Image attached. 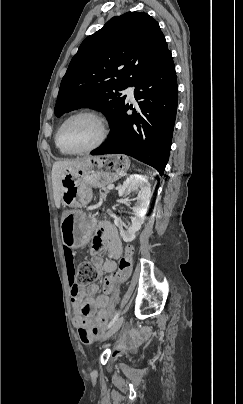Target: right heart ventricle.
I'll use <instances>...</instances> for the list:
<instances>
[{
    "label": "right heart ventricle",
    "mask_w": 243,
    "mask_h": 404,
    "mask_svg": "<svg viewBox=\"0 0 243 404\" xmlns=\"http://www.w3.org/2000/svg\"><path fill=\"white\" fill-rule=\"evenodd\" d=\"M54 141H55V145H56L58 151H59L62 155H67V156H68V155H73V154H74V153H71V152L67 151L64 147H62V146L59 145L58 140H57V133L55 134Z\"/></svg>",
    "instance_id": "obj_1"
}]
</instances>
